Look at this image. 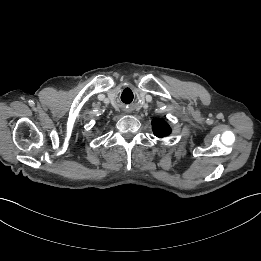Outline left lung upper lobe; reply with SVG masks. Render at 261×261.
<instances>
[{"label": "left lung upper lobe", "mask_w": 261, "mask_h": 261, "mask_svg": "<svg viewBox=\"0 0 261 261\" xmlns=\"http://www.w3.org/2000/svg\"><path fill=\"white\" fill-rule=\"evenodd\" d=\"M153 133L157 137H165L171 132V128L163 119H155L152 121Z\"/></svg>", "instance_id": "obj_1"}]
</instances>
